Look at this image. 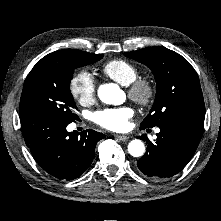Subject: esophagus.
I'll use <instances>...</instances> for the list:
<instances>
[{
  "instance_id": "obj_1",
  "label": "esophagus",
  "mask_w": 221,
  "mask_h": 221,
  "mask_svg": "<svg viewBox=\"0 0 221 221\" xmlns=\"http://www.w3.org/2000/svg\"><path fill=\"white\" fill-rule=\"evenodd\" d=\"M115 138L118 139V140H121V141H126V140L129 139V136L116 134V135H115Z\"/></svg>"
}]
</instances>
